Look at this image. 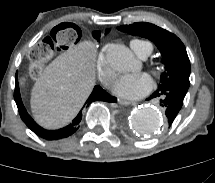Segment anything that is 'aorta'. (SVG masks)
I'll list each match as a JSON object with an SVG mask.
<instances>
[{
	"label": "aorta",
	"mask_w": 215,
	"mask_h": 183,
	"mask_svg": "<svg viewBox=\"0 0 215 183\" xmlns=\"http://www.w3.org/2000/svg\"><path fill=\"white\" fill-rule=\"evenodd\" d=\"M107 60L115 71L121 73L130 71L134 64L133 54L122 44H115L108 50ZM129 123L136 133L151 135L160 130L163 125V117L157 108L142 106L132 112Z\"/></svg>",
	"instance_id": "1"
}]
</instances>
